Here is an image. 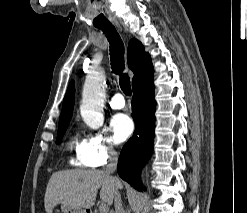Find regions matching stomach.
Instances as JSON below:
<instances>
[{
	"label": "stomach",
	"mask_w": 247,
	"mask_h": 213,
	"mask_svg": "<svg viewBox=\"0 0 247 213\" xmlns=\"http://www.w3.org/2000/svg\"><path fill=\"white\" fill-rule=\"evenodd\" d=\"M61 211H62V213H88L87 209L75 207V206H70L67 204L61 205Z\"/></svg>",
	"instance_id": "stomach-1"
}]
</instances>
